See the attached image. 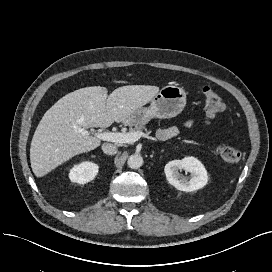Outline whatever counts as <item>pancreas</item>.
Segmentation results:
<instances>
[{
  "label": "pancreas",
  "instance_id": "pancreas-1",
  "mask_svg": "<svg viewBox=\"0 0 272 272\" xmlns=\"http://www.w3.org/2000/svg\"><path fill=\"white\" fill-rule=\"evenodd\" d=\"M143 130H146V127L144 125H135L134 128H130V132H142Z\"/></svg>",
  "mask_w": 272,
  "mask_h": 272
}]
</instances>
